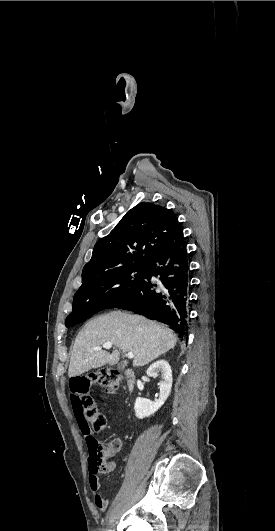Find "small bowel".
<instances>
[{
  "mask_svg": "<svg viewBox=\"0 0 275 531\" xmlns=\"http://www.w3.org/2000/svg\"><path fill=\"white\" fill-rule=\"evenodd\" d=\"M70 403L72 404L74 415L79 416L83 414V401L81 400V396L79 394H72L70 396ZM81 432L85 438V442L89 450H91L94 445L98 444L97 439L92 435L88 426H81ZM113 469L114 467L111 470ZM89 486L93 494L95 506L98 510L105 511L109 506V500L102 491L98 476L89 477Z\"/></svg>",
  "mask_w": 275,
  "mask_h": 531,
  "instance_id": "c3829d8e",
  "label": "small bowel"
}]
</instances>
